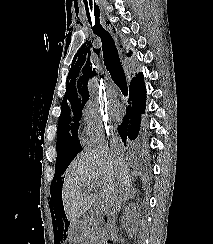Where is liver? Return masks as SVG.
Returning <instances> with one entry per match:
<instances>
[{
  "label": "liver",
  "mask_w": 213,
  "mask_h": 244,
  "mask_svg": "<svg viewBox=\"0 0 213 244\" xmlns=\"http://www.w3.org/2000/svg\"><path fill=\"white\" fill-rule=\"evenodd\" d=\"M131 175L122 152L101 146L78 155L65 172L62 201L67 219L76 223L96 201L88 194L92 185L101 183V198L106 200L120 188L131 186Z\"/></svg>",
  "instance_id": "obj_1"
}]
</instances>
